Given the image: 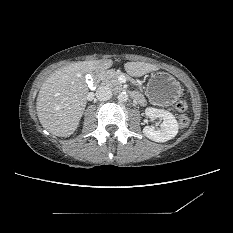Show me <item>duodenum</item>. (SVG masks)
I'll return each instance as SVG.
<instances>
[{
    "label": "duodenum",
    "mask_w": 233,
    "mask_h": 233,
    "mask_svg": "<svg viewBox=\"0 0 233 233\" xmlns=\"http://www.w3.org/2000/svg\"><path fill=\"white\" fill-rule=\"evenodd\" d=\"M107 73V70H103L100 75L98 76V78L94 81V84H96L98 81H100L103 77L104 74Z\"/></svg>",
    "instance_id": "410a0bca"
}]
</instances>
